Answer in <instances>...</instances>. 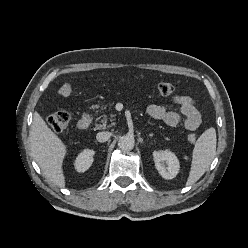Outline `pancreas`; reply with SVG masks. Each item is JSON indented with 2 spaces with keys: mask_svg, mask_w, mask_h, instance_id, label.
I'll return each mask as SVG.
<instances>
[{
  "mask_svg": "<svg viewBox=\"0 0 248 248\" xmlns=\"http://www.w3.org/2000/svg\"><path fill=\"white\" fill-rule=\"evenodd\" d=\"M96 107H97V106H96ZM114 117H115V115H111L110 121H113V120H114ZM107 120H108L107 115H104V116H103V119L100 121L102 124L96 123V124H95V129H96V130L104 129V128L106 127ZM112 124H113V123H112Z\"/></svg>",
  "mask_w": 248,
  "mask_h": 248,
  "instance_id": "1",
  "label": "pancreas"
}]
</instances>
